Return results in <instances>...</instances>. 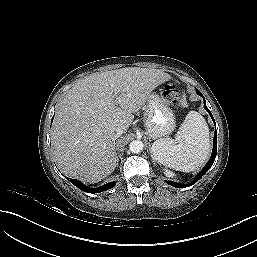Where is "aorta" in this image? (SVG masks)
I'll return each mask as SVG.
<instances>
[{
	"label": "aorta",
	"instance_id": "1",
	"mask_svg": "<svg viewBox=\"0 0 257 257\" xmlns=\"http://www.w3.org/2000/svg\"><path fill=\"white\" fill-rule=\"evenodd\" d=\"M130 151L133 153H139L143 150L144 144L140 140H134L129 144Z\"/></svg>",
	"mask_w": 257,
	"mask_h": 257
}]
</instances>
